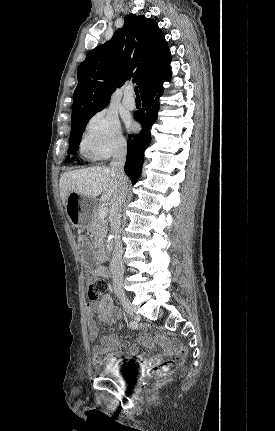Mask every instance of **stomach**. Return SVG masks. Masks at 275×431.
Instances as JSON below:
<instances>
[{
    "label": "stomach",
    "mask_w": 275,
    "mask_h": 431,
    "mask_svg": "<svg viewBox=\"0 0 275 431\" xmlns=\"http://www.w3.org/2000/svg\"><path fill=\"white\" fill-rule=\"evenodd\" d=\"M94 206L95 201L92 198L70 192L67 196L65 210L73 226L88 228Z\"/></svg>",
    "instance_id": "stomach-1"
}]
</instances>
